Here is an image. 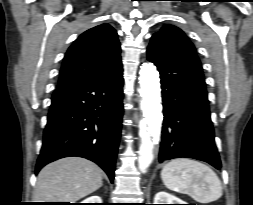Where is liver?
<instances>
[{"label":"liver","instance_id":"1","mask_svg":"<svg viewBox=\"0 0 253 205\" xmlns=\"http://www.w3.org/2000/svg\"><path fill=\"white\" fill-rule=\"evenodd\" d=\"M102 185L100 168L78 157L57 160L38 174L34 198L38 202H70L98 190Z\"/></svg>","mask_w":253,"mask_h":205}]
</instances>
